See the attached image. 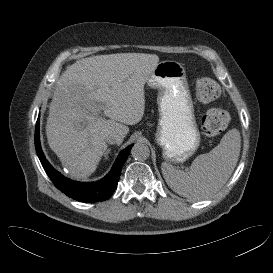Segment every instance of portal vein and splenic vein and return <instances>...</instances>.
I'll return each instance as SVG.
<instances>
[{
    "mask_svg": "<svg viewBox=\"0 0 273 273\" xmlns=\"http://www.w3.org/2000/svg\"><path fill=\"white\" fill-rule=\"evenodd\" d=\"M100 109H101V107H98L97 108V112L99 113V111H100ZM86 123H84V125H85Z\"/></svg>",
    "mask_w": 273,
    "mask_h": 273,
    "instance_id": "1",
    "label": "portal vein and splenic vein"
}]
</instances>
